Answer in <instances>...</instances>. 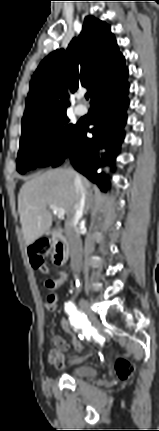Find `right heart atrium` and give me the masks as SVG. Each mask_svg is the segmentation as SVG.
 I'll return each instance as SVG.
<instances>
[{"instance_id":"obj_1","label":"right heart atrium","mask_w":159,"mask_h":431,"mask_svg":"<svg viewBox=\"0 0 159 431\" xmlns=\"http://www.w3.org/2000/svg\"><path fill=\"white\" fill-rule=\"evenodd\" d=\"M43 149L48 156H53L59 149V133L57 131L49 132L43 140Z\"/></svg>"}]
</instances>
